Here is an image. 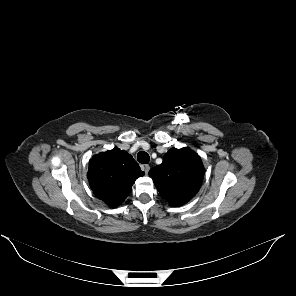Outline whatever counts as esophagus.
<instances>
[{"mask_svg": "<svg viewBox=\"0 0 296 296\" xmlns=\"http://www.w3.org/2000/svg\"><path fill=\"white\" fill-rule=\"evenodd\" d=\"M143 169H144V172H145L146 174H148V172H149V170H150V166H149V165H145Z\"/></svg>", "mask_w": 296, "mask_h": 296, "instance_id": "1", "label": "esophagus"}]
</instances>
